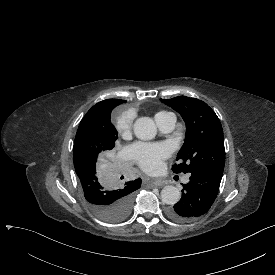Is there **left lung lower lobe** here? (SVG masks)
Listing matches in <instances>:
<instances>
[{
	"label": "left lung lower lobe",
	"instance_id": "0a47b994",
	"mask_svg": "<svg viewBox=\"0 0 275 275\" xmlns=\"http://www.w3.org/2000/svg\"><path fill=\"white\" fill-rule=\"evenodd\" d=\"M190 182L182 184V197L167 215L174 221L185 222L205 214L216 199L222 177L207 173H190Z\"/></svg>",
	"mask_w": 275,
	"mask_h": 275
}]
</instances>
